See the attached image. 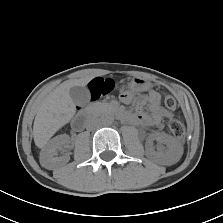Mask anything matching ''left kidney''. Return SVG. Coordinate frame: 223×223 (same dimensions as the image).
<instances>
[{
	"instance_id": "left-kidney-1",
	"label": "left kidney",
	"mask_w": 223,
	"mask_h": 223,
	"mask_svg": "<svg viewBox=\"0 0 223 223\" xmlns=\"http://www.w3.org/2000/svg\"><path fill=\"white\" fill-rule=\"evenodd\" d=\"M153 140L158 142L157 151L152 146ZM182 153V146L166 133H155L148 140L146 154L155 162L171 165L179 161Z\"/></svg>"
}]
</instances>
